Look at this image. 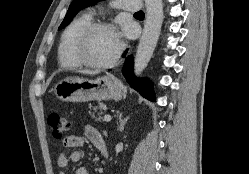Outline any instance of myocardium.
I'll list each match as a JSON object with an SVG mask.
<instances>
[{
  "mask_svg": "<svg viewBox=\"0 0 249 174\" xmlns=\"http://www.w3.org/2000/svg\"><path fill=\"white\" fill-rule=\"evenodd\" d=\"M100 30H108L115 32L117 34L116 27L111 24V23H106V22H97V23H91L89 26L85 28V30L81 33L79 36L76 45H75V56L78 59V61L81 63V65L91 68V69H97V70H102V69H107L110 67H113L117 61L119 60V57L121 55L122 49H123V44L122 41L120 40L118 36V47L117 50L114 54V56L107 62L104 63H94L91 62L85 54V49L87 46V43L89 41V38L97 31ZM118 35V34H117Z\"/></svg>",
  "mask_w": 249,
  "mask_h": 174,
  "instance_id": "obj_1",
  "label": "myocardium"
}]
</instances>
